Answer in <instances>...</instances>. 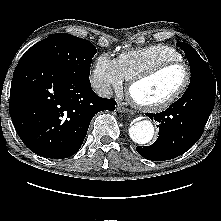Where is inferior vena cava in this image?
I'll list each match as a JSON object with an SVG mask.
<instances>
[{
	"instance_id": "602c4592",
	"label": "inferior vena cava",
	"mask_w": 221,
	"mask_h": 221,
	"mask_svg": "<svg viewBox=\"0 0 221 221\" xmlns=\"http://www.w3.org/2000/svg\"><path fill=\"white\" fill-rule=\"evenodd\" d=\"M96 93L105 98H109L112 96L113 92L111 86L107 83H103L96 86Z\"/></svg>"
}]
</instances>
